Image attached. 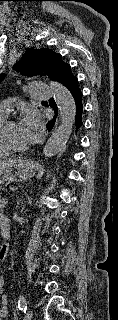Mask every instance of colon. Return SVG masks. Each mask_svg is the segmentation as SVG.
Here are the masks:
<instances>
[{
	"label": "colon",
	"instance_id": "obj_1",
	"mask_svg": "<svg viewBox=\"0 0 118 320\" xmlns=\"http://www.w3.org/2000/svg\"><path fill=\"white\" fill-rule=\"evenodd\" d=\"M3 258H4V253L0 252V260H3Z\"/></svg>",
	"mask_w": 118,
	"mask_h": 320
}]
</instances>
